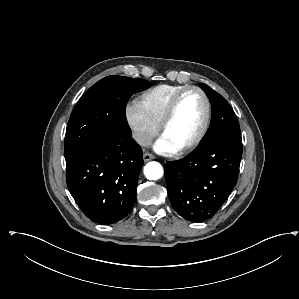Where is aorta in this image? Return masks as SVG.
<instances>
[{"instance_id": "obj_1", "label": "aorta", "mask_w": 299, "mask_h": 299, "mask_svg": "<svg viewBox=\"0 0 299 299\" xmlns=\"http://www.w3.org/2000/svg\"><path fill=\"white\" fill-rule=\"evenodd\" d=\"M164 170L160 163L151 161L144 167V175L148 180H158L163 176Z\"/></svg>"}]
</instances>
